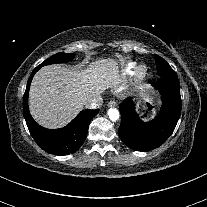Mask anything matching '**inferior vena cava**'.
<instances>
[{"label": "inferior vena cava", "instance_id": "1", "mask_svg": "<svg viewBox=\"0 0 207 207\" xmlns=\"http://www.w3.org/2000/svg\"><path fill=\"white\" fill-rule=\"evenodd\" d=\"M102 104H103V99L99 95L91 98L88 102H86L85 107L88 109H97L100 108Z\"/></svg>", "mask_w": 207, "mask_h": 207}]
</instances>
